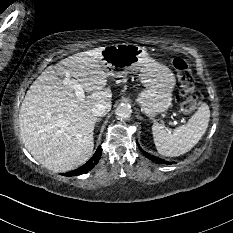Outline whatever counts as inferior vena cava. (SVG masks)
<instances>
[{
    "label": "inferior vena cava",
    "mask_w": 233,
    "mask_h": 233,
    "mask_svg": "<svg viewBox=\"0 0 233 233\" xmlns=\"http://www.w3.org/2000/svg\"><path fill=\"white\" fill-rule=\"evenodd\" d=\"M111 109V103H97L92 108V114L94 116H104Z\"/></svg>",
    "instance_id": "inferior-vena-cava-1"
}]
</instances>
